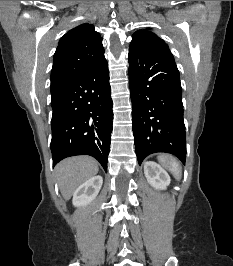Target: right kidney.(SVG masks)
<instances>
[{
  "instance_id": "1",
  "label": "right kidney",
  "mask_w": 233,
  "mask_h": 266,
  "mask_svg": "<svg viewBox=\"0 0 233 266\" xmlns=\"http://www.w3.org/2000/svg\"><path fill=\"white\" fill-rule=\"evenodd\" d=\"M103 184L100 175L94 176L81 184L73 194L72 203L76 207L86 206L95 199Z\"/></svg>"
}]
</instances>
